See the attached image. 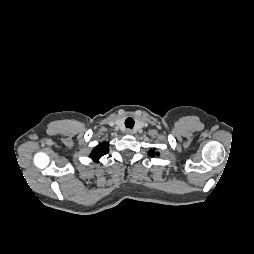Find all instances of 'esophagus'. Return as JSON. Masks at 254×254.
I'll return each instance as SVG.
<instances>
[{
  "instance_id": "obj_1",
  "label": "esophagus",
  "mask_w": 254,
  "mask_h": 254,
  "mask_svg": "<svg viewBox=\"0 0 254 254\" xmlns=\"http://www.w3.org/2000/svg\"><path fill=\"white\" fill-rule=\"evenodd\" d=\"M125 133H126L127 135H132V134H133V130H131V129H126V130H125Z\"/></svg>"
}]
</instances>
